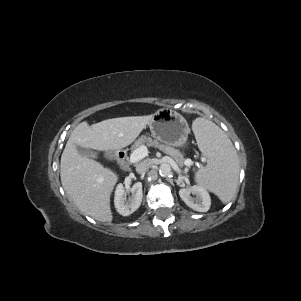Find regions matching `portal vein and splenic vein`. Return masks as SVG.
Returning <instances> with one entry per match:
<instances>
[{"mask_svg":"<svg viewBox=\"0 0 301 301\" xmlns=\"http://www.w3.org/2000/svg\"><path fill=\"white\" fill-rule=\"evenodd\" d=\"M148 153L149 152L147 147L145 145H142L132 152L129 161L130 163H137L138 161L148 156ZM191 164L192 162L190 161L189 163H187V166H190Z\"/></svg>","mask_w":301,"mask_h":301,"instance_id":"portal-vein-and-splenic-vein-1","label":"portal vein and splenic vein"}]
</instances>
